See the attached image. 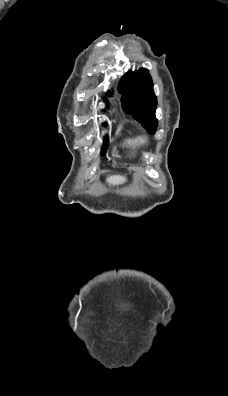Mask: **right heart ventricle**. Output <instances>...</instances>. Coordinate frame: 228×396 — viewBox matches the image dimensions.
Segmentation results:
<instances>
[{
    "mask_svg": "<svg viewBox=\"0 0 228 396\" xmlns=\"http://www.w3.org/2000/svg\"><path fill=\"white\" fill-rule=\"evenodd\" d=\"M145 143V139L143 137H135L128 141V144L132 147H138Z\"/></svg>",
    "mask_w": 228,
    "mask_h": 396,
    "instance_id": "right-heart-ventricle-1",
    "label": "right heart ventricle"
}]
</instances>
